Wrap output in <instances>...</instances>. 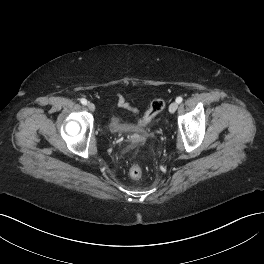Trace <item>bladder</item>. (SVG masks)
<instances>
[{"mask_svg": "<svg viewBox=\"0 0 264 264\" xmlns=\"http://www.w3.org/2000/svg\"><path fill=\"white\" fill-rule=\"evenodd\" d=\"M109 129L110 131L117 133V132H127L130 130V126L121 120L112 117L109 121Z\"/></svg>", "mask_w": 264, "mask_h": 264, "instance_id": "obj_1", "label": "bladder"}]
</instances>
